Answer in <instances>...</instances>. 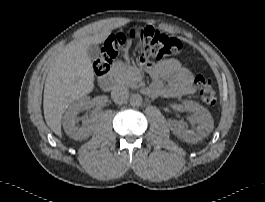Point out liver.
<instances>
[{
  "label": "liver",
  "instance_id": "1",
  "mask_svg": "<svg viewBox=\"0 0 265 202\" xmlns=\"http://www.w3.org/2000/svg\"><path fill=\"white\" fill-rule=\"evenodd\" d=\"M110 31L73 41L53 59L44 86V118L49 128L62 136L65 110L76 100L92 92L94 74L87 54L90 44L102 43Z\"/></svg>",
  "mask_w": 265,
  "mask_h": 202
}]
</instances>
